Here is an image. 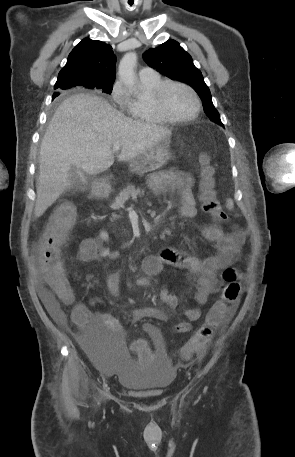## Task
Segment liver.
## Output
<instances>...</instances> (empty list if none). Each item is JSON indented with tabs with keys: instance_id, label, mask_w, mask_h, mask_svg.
Returning a JSON list of instances; mask_svg holds the SVG:
<instances>
[{
	"instance_id": "liver-1",
	"label": "liver",
	"mask_w": 295,
	"mask_h": 457,
	"mask_svg": "<svg viewBox=\"0 0 295 457\" xmlns=\"http://www.w3.org/2000/svg\"><path fill=\"white\" fill-rule=\"evenodd\" d=\"M170 136V129L132 120L101 97L78 94L65 99L42 139L35 217L70 187L72 165L96 175L113 165L114 143L121 147L118 161H130Z\"/></svg>"
}]
</instances>
